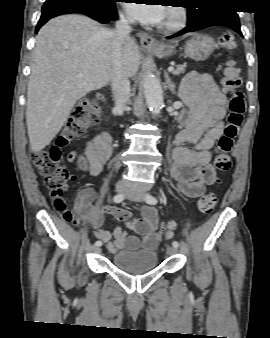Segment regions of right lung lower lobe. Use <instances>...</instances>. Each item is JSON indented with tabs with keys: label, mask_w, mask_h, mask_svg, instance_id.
I'll return each mask as SVG.
<instances>
[{
	"label": "right lung lower lobe",
	"mask_w": 270,
	"mask_h": 338,
	"mask_svg": "<svg viewBox=\"0 0 270 338\" xmlns=\"http://www.w3.org/2000/svg\"><path fill=\"white\" fill-rule=\"evenodd\" d=\"M116 1V0H115ZM99 5L83 1H59V2H45L42 7V15L36 27V33L42 25L49 19L67 13H80L91 17L101 23H108L117 18V11L114 5Z\"/></svg>",
	"instance_id": "98d812e1"
}]
</instances>
